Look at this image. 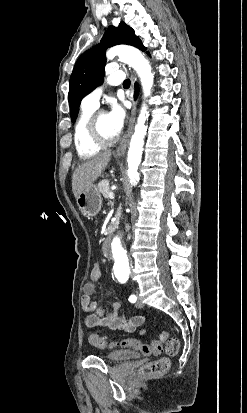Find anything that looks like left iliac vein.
Here are the masks:
<instances>
[{
    "label": "left iliac vein",
    "instance_id": "4c4485c4",
    "mask_svg": "<svg viewBox=\"0 0 247 413\" xmlns=\"http://www.w3.org/2000/svg\"><path fill=\"white\" fill-rule=\"evenodd\" d=\"M137 296H138V300H137L135 306H136L137 308H142V307H143V303H142V300H141L140 296L138 295V293H137Z\"/></svg>",
    "mask_w": 247,
    "mask_h": 413
}]
</instances>
